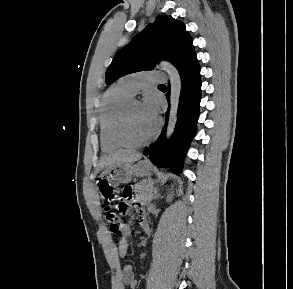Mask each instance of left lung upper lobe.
Masks as SVG:
<instances>
[{
  "label": "left lung upper lobe",
  "mask_w": 293,
  "mask_h": 289,
  "mask_svg": "<svg viewBox=\"0 0 293 289\" xmlns=\"http://www.w3.org/2000/svg\"><path fill=\"white\" fill-rule=\"evenodd\" d=\"M194 56L193 39L185 25L160 15L115 54L106 71V83L129 73L152 70L160 60L171 62L179 71Z\"/></svg>",
  "instance_id": "1"
}]
</instances>
